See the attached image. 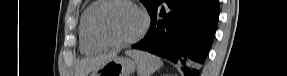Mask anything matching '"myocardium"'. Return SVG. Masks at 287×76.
<instances>
[{
    "label": "myocardium",
    "mask_w": 287,
    "mask_h": 76,
    "mask_svg": "<svg viewBox=\"0 0 287 76\" xmlns=\"http://www.w3.org/2000/svg\"><path fill=\"white\" fill-rule=\"evenodd\" d=\"M116 3H123L127 4L133 8H135L142 16L143 24L139 32L125 40H119V41H113L108 38H106L99 29V20L103 12L111 5ZM150 26V18L146 10L131 0H103V2L97 7V9L94 11L91 21H90V31L94 38V40L99 43L104 48H120L125 47L128 45H132L138 41H140L147 33Z\"/></svg>",
    "instance_id": "f54148a6"
}]
</instances>
